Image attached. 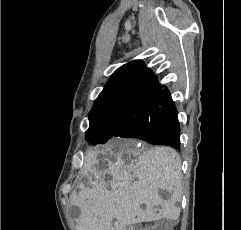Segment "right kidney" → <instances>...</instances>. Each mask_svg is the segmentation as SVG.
I'll return each mask as SVG.
<instances>
[{
	"mask_svg": "<svg viewBox=\"0 0 241 230\" xmlns=\"http://www.w3.org/2000/svg\"><path fill=\"white\" fill-rule=\"evenodd\" d=\"M123 230H133V228H124Z\"/></svg>",
	"mask_w": 241,
	"mask_h": 230,
	"instance_id": "right-kidney-1",
	"label": "right kidney"
}]
</instances>
